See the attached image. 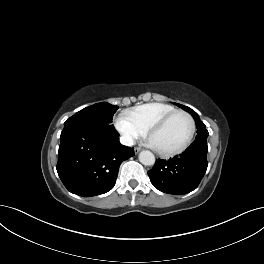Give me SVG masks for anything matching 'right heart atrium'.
<instances>
[{
    "label": "right heart atrium",
    "mask_w": 264,
    "mask_h": 264,
    "mask_svg": "<svg viewBox=\"0 0 264 264\" xmlns=\"http://www.w3.org/2000/svg\"><path fill=\"white\" fill-rule=\"evenodd\" d=\"M115 127L122 136L124 142L129 145L145 136V133L135 125L127 112H123L117 117Z\"/></svg>",
    "instance_id": "d8ad5b80"
}]
</instances>
